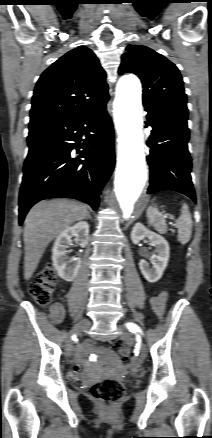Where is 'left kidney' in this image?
<instances>
[{
  "label": "left kidney",
  "instance_id": "1",
  "mask_svg": "<svg viewBox=\"0 0 212 438\" xmlns=\"http://www.w3.org/2000/svg\"><path fill=\"white\" fill-rule=\"evenodd\" d=\"M145 237L151 240L153 246L156 247L155 251L157 254L154 256L152 268L149 267V264L145 260L139 262V268L148 282L155 283L162 277L167 266L170 248L164 237L149 230L143 224L136 223L131 232L132 242L138 244Z\"/></svg>",
  "mask_w": 212,
  "mask_h": 438
}]
</instances>
